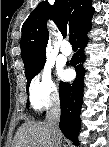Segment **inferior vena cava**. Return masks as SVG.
<instances>
[{
    "label": "inferior vena cava",
    "mask_w": 109,
    "mask_h": 147,
    "mask_svg": "<svg viewBox=\"0 0 109 147\" xmlns=\"http://www.w3.org/2000/svg\"><path fill=\"white\" fill-rule=\"evenodd\" d=\"M60 106L54 105L46 115V124L52 135L54 147H61L59 135Z\"/></svg>",
    "instance_id": "602c4592"
}]
</instances>
